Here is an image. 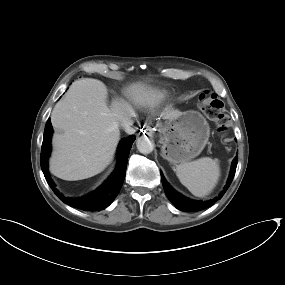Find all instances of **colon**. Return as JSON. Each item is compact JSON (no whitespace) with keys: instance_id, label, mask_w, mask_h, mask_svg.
Segmentation results:
<instances>
[{"instance_id":"obj_1","label":"colon","mask_w":285,"mask_h":285,"mask_svg":"<svg viewBox=\"0 0 285 285\" xmlns=\"http://www.w3.org/2000/svg\"><path fill=\"white\" fill-rule=\"evenodd\" d=\"M200 101L202 108L206 116L213 120L217 126L218 130L224 129V115L222 113L223 103L218 99H212L207 94H202L200 96Z\"/></svg>"}]
</instances>
